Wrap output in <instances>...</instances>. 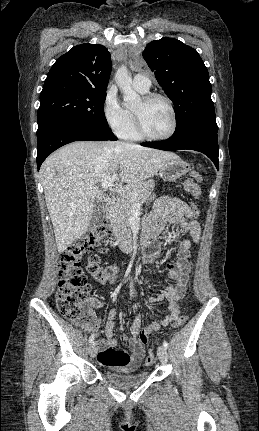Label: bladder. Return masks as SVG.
<instances>
[{
	"label": "bladder",
	"mask_w": 259,
	"mask_h": 431,
	"mask_svg": "<svg viewBox=\"0 0 259 431\" xmlns=\"http://www.w3.org/2000/svg\"><path fill=\"white\" fill-rule=\"evenodd\" d=\"M104 375L112 383L126 387L145 381L149 377V372L122 368H107L104 370Z\"/></svg>",
	"instance_id": "31cf9c89"
}]
</instances>
